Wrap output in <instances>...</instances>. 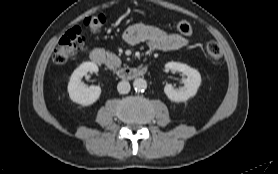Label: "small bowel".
Instances as JSON below:
<instances>
[{
    "label": "small bowel",
    "instance_id": "1",
    "mask_svg": "<svg viewBox=\"0 0 278 174\" xmlns=\"http://www.w3.org/2000/svg\"><path fill=\"white\" fill-rule=\"evenodd\" d=\"M123 40L130 45L144 43L150 49L162 51L179 50L189 43L183 35L168 33L158 27L145 24L129 27L123 34Z\"/></svg>",
    "mask_w": 278,
    "mask_h": 174
}]
</instances>
